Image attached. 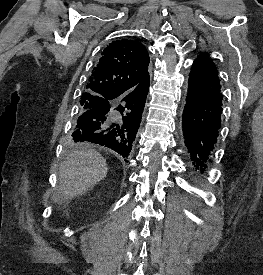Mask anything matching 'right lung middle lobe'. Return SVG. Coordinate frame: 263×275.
I'll return each mask as SVG.
<instances>
[{"mask_svg": "<svg viewBox=\"0 0 263 275\" xmlns=\"http://www.w3.org/2000/svg\"><path fill=\"white\" fill-rule=\"evenodd\" d=\"M103 104H104V99L98 96L91 95V94L82 95L81 101H80V105H81L80 111L83 112L88 109L99 107ZM71 146L74 148L80 147L79 145H75V144H72Z\"/></svg>", "mask_w": 263, "mask_h": 275, "instance_id": "1", "label": "right lung middle lobe"}]
</instances>
